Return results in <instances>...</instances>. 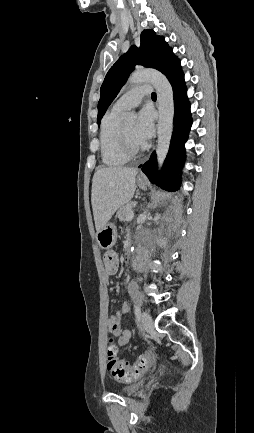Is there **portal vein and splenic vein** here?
Wrapping results in <instances>:
<instances>
[{"label": "portal vein and splenic vein", "instance_id": "portal-vein-and-splenic-vein-1", "mask_svg": "<svg viewBox=\"0 0 254 433\" xmlns=\"http://www.w3.org/2000/svg\"><path fill=\"white\" fill-rule=\"evenodd\" d=\"M134 218V214L131 213L130 215H128L127 220H132Z\"/></svg>", "mask_w": 254, "mask_h": 433}]
</instances>
